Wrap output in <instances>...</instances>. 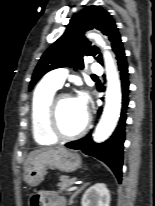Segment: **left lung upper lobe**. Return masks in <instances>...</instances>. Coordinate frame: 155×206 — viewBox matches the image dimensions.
<instances>
[{"instance_id": "obj_1", "label": "left lung upper lobe", "mask_w": 155, "mask_h": 206, "mask_svg": "<svg viewBox=\"0 0 155 206\" xmlns=\"http://www.w3.org/2000/svg\"><path fill=\"white\" fill-rule=\"evenodd\" d=\"M92 28L108 36L115 53L122 46L121 36L112 16L101 7H85L72 17L62 37L42 55L34 70L29 90L50 70L66 66L82 69L85 56L92 55L102 64L99 49L92 46L84 36V32Z\"/></svg>"}]
</instances>
